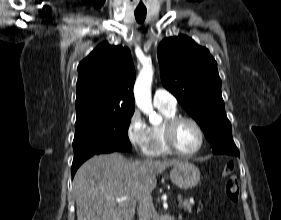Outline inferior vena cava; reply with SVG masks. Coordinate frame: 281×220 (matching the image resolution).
<instances>
[{"label":"inferior vena cava","mask_w":281,"mask_h":220,"mask_svg":"<svg viewBox=\"0 0 281 220\" xmlns=\"http://www.w3.org/2000/svg\"><path fill=\"white\" fill-rule=\"evenodd\" d=\"M138 201L139 220H155L156 212L151 194L147 193L141 196Z\"/></svg>","instance_id":"inferior-vena-cava-1"}]
</instances>
